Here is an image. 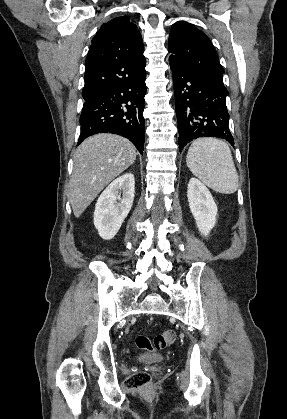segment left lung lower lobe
<instances>
[{"instance_id": "0a47b994", "label": "left lung lower lobe", "mask_w": 287, "mask_h": 419, "mask_svg": "<svg viewBox=\"0 0 287 419\" xmlns=\"http://www.w3.org/2000/svg\"><path fill=\"white\" fill-rule=\"evenodd\" d=\"M179 150L200 137H218L234 145L229 131L223 77L190 74L173 69Z\"/></svg>"}]
</instances>
